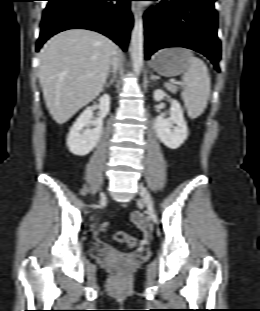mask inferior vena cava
Segmentation results:
<instances>
[{"mask_svg": "<svg viewBox=\"0 0 260 311\" xmlns=\"http://www.w3.org/2000/svg\"><path fill=\"white\" fill-rule=\"evenodd\" d=\"M116 51L114 52V57H112L110 64L113 68V71L115 72L117 70L118 67V58L116 57Z\"/></svg>", "mask_w": 260, "mask_h": 311, "instance_id": "inferior-vena-cava-1", "label": "inferior vena cava"}]
</instances>
